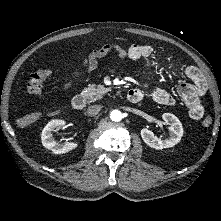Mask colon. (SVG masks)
<instances>
[{"mask_svg": "<svg viewBox=\"0 0 221 221\" xmlns=\"http://www.w3.org/2000/svg\"><path fill=\"white\" fill-rule=\"evenodd\" d=\"M51 74V70L49 69H40L37 72L30 75L27 83L26 90L30 94L40 95L43 92V82L45 79ZM39 118L38 113H31L23 116L18 120V125L20 127H27L34 122H36ZM213 119L210 116L204 118L202 122V126L205 130H209L212 126Z\"/></svg>", "mask_w": 221, "mask_h": 221, "instance_id": "1", "label": "colon"}]
</instances>
